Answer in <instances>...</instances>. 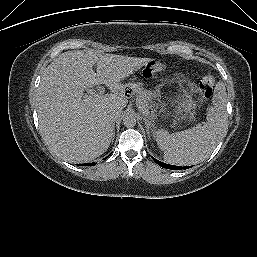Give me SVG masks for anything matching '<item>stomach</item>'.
Listing matches in <instances>:
<instances>
[{
	"label": "stomach",
	"instance_id": "stomach-1",
	"mask_svg": "<svg viewBox=\"0 0 257 257\" xmlns=\"http://www.w3.org/2000/svg\"><path fill=\"white\" fill-rule=\"evenodd\" d=\"M129 89L135 90L136 92L139 90H143L142 84L138 83V84H129L127 86Z\"/></svg>",
	"mask_w": 257,
	"mask_h": 257
}]
</instances>
